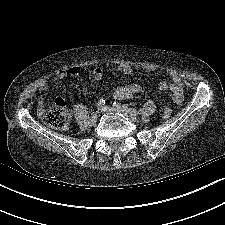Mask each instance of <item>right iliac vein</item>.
Returning a JSON list of instances; mask_svg holds the SVG:
<instances>
[{"label":"right iliac vein","instance_id":"63e3f726","mask_svg":"<svg viewBox=\"0 0 225 225\" xmlns=\"http://www.w3.org/2000/svg\"><path fill=\"white\" fill-rule=\"evenodd\" d=\"M98 111L97 112H94L90 118V124L91 125H95L96 122H97V119H98Z\"/></svg>","mask_w":225,"mask_h":225}]
</instances>
